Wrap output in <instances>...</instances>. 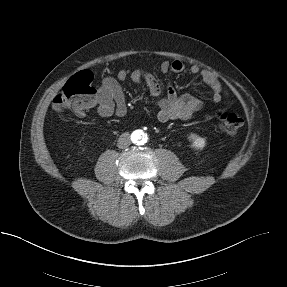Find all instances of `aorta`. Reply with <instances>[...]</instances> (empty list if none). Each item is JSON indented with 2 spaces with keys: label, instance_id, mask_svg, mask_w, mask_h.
<instances>
[{
  "label": "aorta",
  "instance_id": "762f6f07",
  "mask_svg": "<svg viewBox=\"0 0 287 287\" xmlns=\"http://www.w3.org/2000/svg\"><path fill=\"white\" fill-rule=\"evenodd\" d=\"M132 139L138 143H145L147 141V134L142 130H136L132 133Z\"/></svg>",
  "mask_w": 287,
  "mask_h": 287
}]
</instances>
